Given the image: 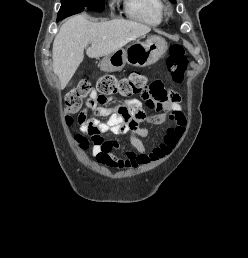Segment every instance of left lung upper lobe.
<instances>
[{"mask_svg":"<svg viewBox=\"0 0 248 258\" xmlns=\"http://www.w3.org/2000/svg\"><path fill=\"white\" fill-rule=\"evenodd\" d=\"M171 2L175 3L176 1L175 0H170Z\"/></svg>","mask_w":248,"mask_h":258,"instance_id":"obj_1","label":"left lung upper lobe"}]
</instances>
